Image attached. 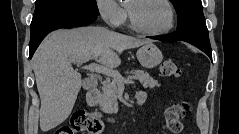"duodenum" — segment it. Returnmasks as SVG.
Instances as JSON below:
<instances>
[{
	"instance_id": "obj_1",
	"label": "duodenum",
	"mask_w": 239,
	"mask_h": 134,
	"mask_svg": "<svg viewBox=\"0 0 239 134\" xmlns=\"http://www.w3.org/2000/svg\"><path fill=\"white\" fill-rule=\"evenodd\" d=\"M99 97H100V92L98 88H91L90 90H88L86 95L88 105L92 108L96 107ZM143 102H144V98L141 95H136V104L142 105ZM94 115H97V114L94 113Z\"/></svg>"
}]
</instances>
